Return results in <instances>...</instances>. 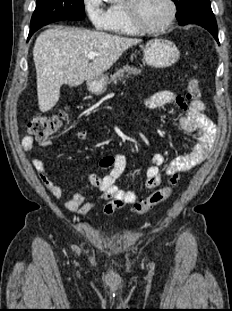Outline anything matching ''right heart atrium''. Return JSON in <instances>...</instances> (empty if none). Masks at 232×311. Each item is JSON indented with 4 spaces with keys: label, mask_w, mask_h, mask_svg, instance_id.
Instances as JSON below:
<instances>
[{
    "label": "right heart atrium",
    "mask_w": 232,
    "mask_h": 311,
    "mask_svg": "<svg viewBox=\"0 0 232 311\" xmlns=\"http://www.w3.org/2000/svg\"><path fill=\"white\" fill-rule=\"evenodd\" d=\"M84 10L94 29L106 30L109 22V10L105 8L104 0H83Z\"/></svg>",
    "instance_id": "1"
}]
</instances>
